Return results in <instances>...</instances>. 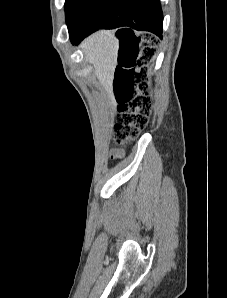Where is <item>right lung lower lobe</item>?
I'll list each match as a JSON object with an SVG mask.
<instances>
[{
  "label": "right lung lower lobe",
  "instance_id": "obj_1",
  "mask_svg": "<svg viewBox=\"0 0 227 298\" xmlns=\"http://www.w3.org/2000/svg\"><path fill=\"white\" fill-rule=\"evenodd\" d=\"M163 13L160 0H109L77 32L69 34L72 44H79L99 29L117 30L120 39L118 63L125 66V46L134 39V31H149L162 38ZM122 69L117 67L115 79Z\"/></svg>",
  "mask_w": 227,
  "mask_h": 298
}]
</instances>
